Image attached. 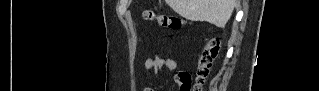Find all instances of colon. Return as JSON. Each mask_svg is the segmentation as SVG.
Masks as SVG:
<instances>
[{
    "label": "colon",
    "mask_w": 319,
    "mask_h": 91,
    "mask_svg": "<svg viewBox=\"0 0 319 91\" xmlns=\"http://www.w3.org/2000/svg\"><path fill=\"white\" fill-rule=\"evenodd\" d=\"M144 18L170 32H177L184 25V21L178 16L157 9L145 11ZM220 48L221 39L219 38H211L204 44L198 57V73L195 83L193 84L192 79L188 74H181L178 80L180 91L201 90L202 83L208 76L214 61L220 52Z\"/></svg>",
    "instance_id": "colon-1"
}]
</instances>
